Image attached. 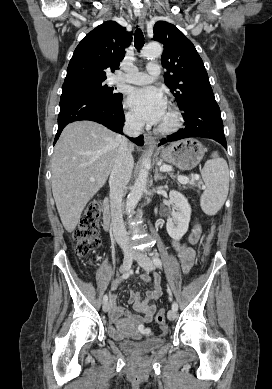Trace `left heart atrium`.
<instances>
[{"label": "left heart atrium", "instance_id": "39dd6f15", "mask_svg": "<svg viewBox=\"0 0 272 389\" xmlns=\"http://www.w3.org/2000/svg\"><path fill=\"white\" fill-rule=\"evenodd\" d=\"M127 105L149 124H159L167 110L163 92L153 86L133 88L129 92Z\"/></svg>", "mask_w": 272, "mask_h": 389}]
</instances>
